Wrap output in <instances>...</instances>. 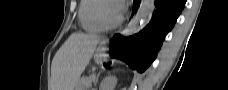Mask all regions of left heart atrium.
<instances>
[{
  "label": "left heart atrium",
  "instance_id": "1",
  "mask_svg": "<svg viewBox=\"0 0 228 90\" xmlns=\"http://www.w3.org/2000/svg\"><path fill=\"white\" fill-rule=\"evenodd\" d=\"M115 6H116V8H117V10H118L119 14H121V13H122V11H123V7H122V5H121V4H117V5H115Z\"/></svg>",
  "mask_w": 228,
  "mask_h": 90
}]
</instances>
